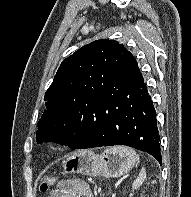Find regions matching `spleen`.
<instances>
[{
	"label": "spleen",
	"mask_w": 191,
	"mask_h": 197,
	"mask_svg": "<svg viewBox=\"0 0 191 197\" xmlns=\"http://www.w3.org/2000/svg\"><path fill=\"white\" fill-rule=\"evenodd\" d=\"M112 150L119 153V154L128 156V158L130 159L131 162L135 163V161L137 159V155H136L135 151L131 148L119 146V147H113ZM145 178H146V171L144 168H142L138 177L134 180V182L132 184V188L136 189V188L140 187L141 184L144 182Z\"/></svg>",
	"instance_id": "spleen-1"
}]
</instances>
